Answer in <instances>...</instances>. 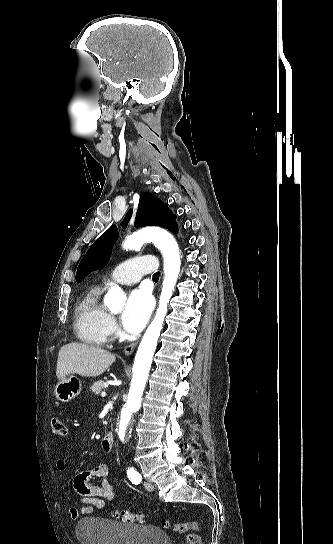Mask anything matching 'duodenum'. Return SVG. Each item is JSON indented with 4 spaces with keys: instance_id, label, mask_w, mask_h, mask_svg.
<instances>
[{
    "instance_id": "410a0bca",
    "label": "duodenum",
    "mask_w": 333,
    "mask_h": 544,
    "mask_svg": "<svg viewBox=\"0 0 333 544\" xmlns=\"http://www.w3.org/2000/svg\"><path fill=\"white\" fill-rule=\"evenodd\" d=\"M114 446V435L112 432H107L102 438V448L106 452H110Z\"/></svg>"
}]
</instances>
